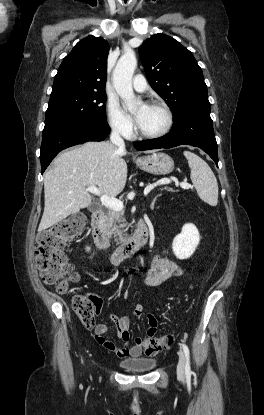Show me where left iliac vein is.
Returning <instances> with one entry per match:
<instances>
[{
  "mask_svg": "<svg viewBox=\"0 0 264 415\" xmlns=\"http://www.w3.org/2000/svg\"><path fill=\"white\" fill-rule=\"evenodd\" d=\"M178 355H179V360L177 364V375L180 379H184L185 378V357L181 350L178 352Z\"/></svg>",
  "mask_w": 264,
  "mask_h": 415,
  "instance_id": "obj_1",
  "label": "left iliac vein"
}]
</instances>
